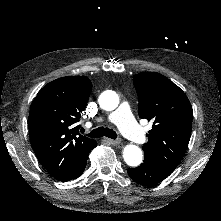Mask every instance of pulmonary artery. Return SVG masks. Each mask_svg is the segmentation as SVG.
Returning a JSON list of instances; mask_svg holds the SVG:
<instances>
[{
  "mask_svg": "<svg viewBox=\"0 0 221 221\" xmlns=\"http://www.w3.org/2000/svg\"><path fill=\"white\" fill-rule=\"evenodd\" d=\"M115 118L121 122V129L135 143H142L146 139V131L130 118V111L126 107H119L115 111Z\"/></svg>",
  "mask_w": 221,
  "mask_h": 221,
  "instance_id": "pulmonary-artery-1",
  "label": "pulmonary artery"
}]
</instances>
